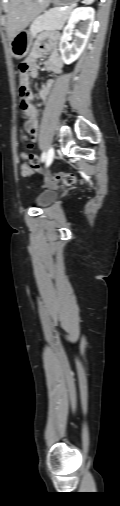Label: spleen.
<instances>
[{
  "label": "spleen",
  "instance_id": "obj_1",
  "mask_svg": "<svg viewBox=\"0 0 120 506\" xmlns=\"http://www.w3.org/2000/svg\"><path fill=\"white\" fill-rule=\"evenodd\" d=\"M84 4H92L94 0H83Z\"/></svg>",
  "mask_w": 120,
  "mask_h": 506
}]
</instances>
